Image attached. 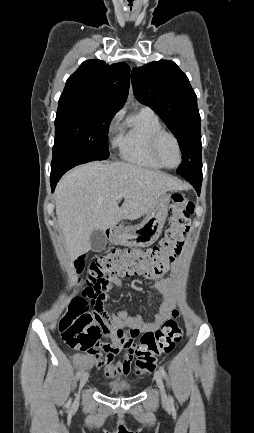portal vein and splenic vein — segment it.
I'll return each mask as SVG.
<instances>
[{
    "label": "portal vein and splenic vein",
    "instance_id": "18ae733b",
    "mask_svg": "<svg viewBox=\"0 0 254 433\" xmlns=\"http://www.w3.org/2000/svg\"><path fill=\"white\" fill-rule=\"evenodd\" d=\"M123 196H124V194H122V193L119 195L120 198L123 197Z\"/></svg>",
    "mask_w": 254,
    "mask_h": 433
}]
</instances>
